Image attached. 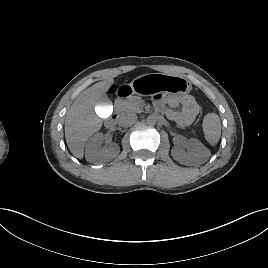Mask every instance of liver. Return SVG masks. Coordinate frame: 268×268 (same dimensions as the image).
Masks as SVG:
<instances>
[{"mask_svg": "<svg viewBox=\"0 0 268 268\" xmlns=\"http://www.w3.org/2000/svg\"><path fill=\"white\" fill-rule=\"evenodd\" d=\"M113 83V77H109L92 85L76 98L67 112L65 138L69 150L76 158H83L85 143L102 127V120L95 113V108Z\"/></svg>", "mask_w": 268, "mask_h": 268, "instance_id": "liver-1", "label": "liver"}]
</instances>
